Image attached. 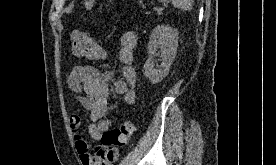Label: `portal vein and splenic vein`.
<instances>
[{
    "label": "portal vein and splenic vein",
    "mask_w": 276,
    "mask_h": 165,
    "mask_svg": "<svg viewBox=\"0 0 276 165\" xmlns=\"http://www.w3.org/2000/svg\"><path fill=\"white\" fill-rule=\"evenodd\" d=\"M163 8H158L157 13L160 14L162 12Z\"/></svg>",
    "instance_id": "portal-vein-and-splenic-vein-1"
}]
</instances>
